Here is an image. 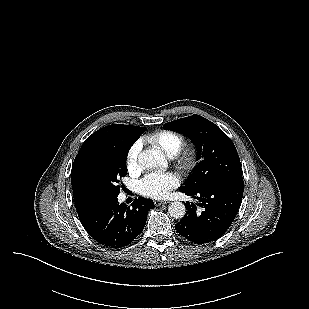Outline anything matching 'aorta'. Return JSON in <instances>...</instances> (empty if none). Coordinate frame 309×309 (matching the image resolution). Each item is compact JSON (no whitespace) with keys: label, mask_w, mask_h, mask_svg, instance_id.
Here are the masks:
<instances>
[{"label":"aorta","mask_w":309,"mask_h":309,"mask_svg":"<svg viewBox=\"0 0 309 309\" xmlns=\"http://www.w3.org/2000/svg\"><path fill=\"white\" fill-rule=\"evenodd\" d=\"M139 164L147 169H155L165 164V157L159 150H144L138 156ZM168 213L175 219H181L185 216L186 208L182 202L175 201L169 204Z\"/></svg>","instance_id":"obj_1"}]
</instances>
